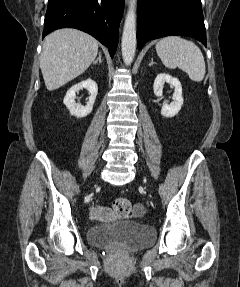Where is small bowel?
<instances>
[{"label":"small bowel","mask_w":240,"mask_h":287,"mask_svg":"<svg viewBox=\"0 0 240 287\" xmlns=\"http://www.w3.org/2000/svg\"><path fill=\"white\" fill-rule=\"evenodd\" d=\"M134 211L138 214L142 213L144 211L143 205L139 203L136 204L134 206ZM90 216L93 219H109L112 218L114 214L109 208L96 205L90 209Z\"/></svg>","instance_id":"c3829d8e"}]
</instances>
